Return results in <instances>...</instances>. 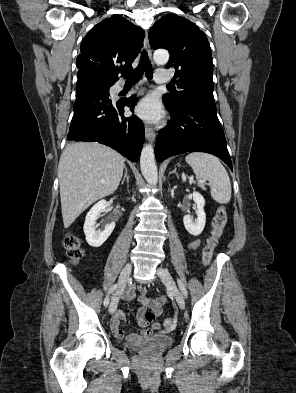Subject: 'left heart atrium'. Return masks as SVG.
Segmentation results:
<instances>
[{"label": "left heart atrium", "mask_w": 296, "mask_h": 393, "mask_svg": "<svg viewBox=\"0 0 296 393\" xmlns=\"http://www.w3.org/2000/svg\"><path fill=\"white\" fill-rule=\"evenodd\" d=\"M135 114L143 120L155 122L162 116L159 100L153 95H147L135 107Z\"/></svg>", "instance_id": "39dd6f15"}]
</instances>
